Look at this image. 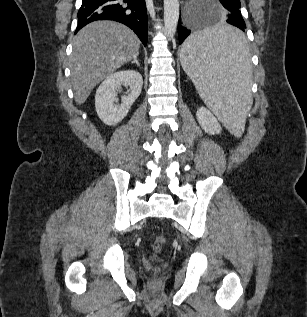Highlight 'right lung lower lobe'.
Here are the masks:
<instances>
[{"label":"right lung lower lobe","instance_id":"1","mask_svg":"<svg viewBox=\"0 0 307 317\" xmlns=\"http://www.w3.org/2000/svg\"><path fill=\"white\" fill-rule=\"evenodd\" d=\"M82 0L78 11V26L75 33L88 23L96 20H114L130 27L147 44V11L144 0Z\"/></svg>","mask_w":307,"mask_h":317}]
</instances>
